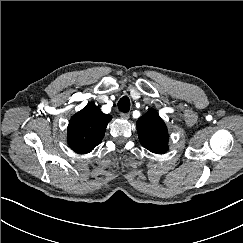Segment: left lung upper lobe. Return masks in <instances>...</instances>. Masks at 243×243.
Returning a JSON list of instances; mask_svg holds the SVG:
<instances>
[{
  "label": "left lung upper lobe",
  "mask_w": 243,
  "mask_h": 243,
  "mask_svg": "<svg viewBox=\"0 0 243 243\" xmlns=\"http://www.w3.org/2000/svg\"><path fill=\"white\" fill-rule=\"evenodd\" d=\"M140 143L149 151L164 154L168 151V130L156 110L151 109L137 121Z\"/></svg>",
  "instance_id": "5c2ea615"
}]
</instances>
